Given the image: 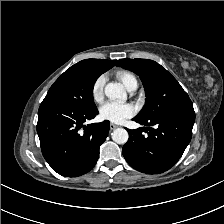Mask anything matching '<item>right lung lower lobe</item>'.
I'll list each match as a JSON object with an SVG mask.
<instances>
[{"label":"right lung lower lobe","mask_w":224,"mask_h":224,"mask_svg":"<svg viewBox=\"0 0 224 224\" xmlns=\"http://www.w3.org/2000/svg\"><path fill=\"white\" fill-rule=\"evenodd\" d=\"M98 110H77L52 100H43L38 111L37 133L44 158L58 174L75 177L89 172L99 157L110 122L83 125Z\"/></svg>","instance_id":"obj_1"}]
</instances>
